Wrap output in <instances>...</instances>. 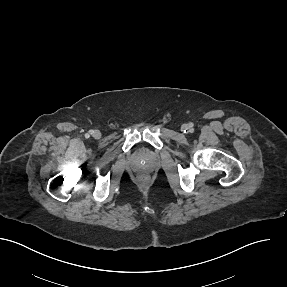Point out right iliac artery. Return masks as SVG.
I'll use <instances>...</instances> for the list:
<instances>
[{
    "label": "right iliac artery",
    "mask_w": 287,
    "mask_h": 287,
    "mask_svg": "<svg viewBox=\"0 0 287 287\" xmlns=\"http://www.w3.org/2000/svg\"><path fill=\"white\" fill-rule=\"evenodd\" d=\"M93 132H94L93 130L89 131L90 134H93ZM86 137H89V134H86Z\"/></svg>",
    "instance_id": "1"
}]
</instances>
